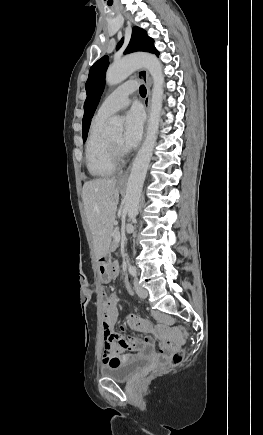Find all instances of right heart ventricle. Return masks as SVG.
I'll list each match as a JSON object with an SVG mask.
<instances>
[{"mask_svg":"<svg viewBox=\"0 0 263 435\" xmlns=\"http://www.w3.org/2000/svg\"><path fill=\"white\" fill-rule=\"evenodd\" d=\"M107 118L95 116L92 119L88 138L85 145V161L89 174L102 178L114 174L116 165L113 162L104 134V125Z\"/></svg>","mask_w":263,"mask_h":435,"instance_id":"right-heart-ventricle-1","label":"right heart ventricle"}]
</instances>
